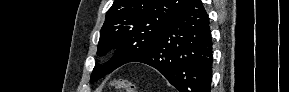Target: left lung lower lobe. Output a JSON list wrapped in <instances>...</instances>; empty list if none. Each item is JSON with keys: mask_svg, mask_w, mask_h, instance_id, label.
<instances>
[{"mask_svg": "<svg viewBox=\"0 0 289 92\" xmlns=\"http://www.w3.org/2000/svg\"><path fill=\"white\" fill-rule=\"evenodd\" d=\"M131 62L150 65L180 92H210L212 38L200 0H189L155 43Z\"/></svg>", "mask_w": 289, "mask_h": 92, "instance_id": "0a47b994", "label": "left lung lower lobe"}]
</instances>
